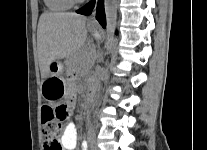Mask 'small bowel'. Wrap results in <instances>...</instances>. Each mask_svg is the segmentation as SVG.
Here are the masks:
<instances>
[{
  "label": "small bowel",
  "mask_w": 207,
  "mask_h": 150,
  "mask_svg": "<svg viewBox=\"0 0 207 150\" xmlns=\"http://www.w3.org/2000/svg\"><path fill=\"white\" fill-rule=\"evenodd\" d=\"M76 100V91L71 89L68 93V106L69 108L74 107ZM58 141L60 142L63 150H76L78 143V132L74 123H68ZM81 150H90V140H81Z\"/></svg>",
  "instance_id": "small-bowel-1"
}]
</instances>
